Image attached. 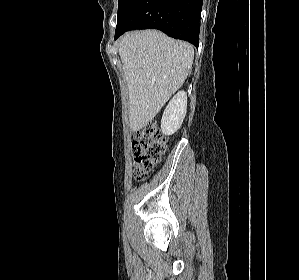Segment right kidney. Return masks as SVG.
<instances>
[{"instance_id": "1", "label": "right kidney", "mask_w": 299, "mask_h": 280, "mask_svg": "<svg viewBox=\"0 0 299 280\" xmlns=\"http://www.w3.org/2000/svg\"><path fill=\"white\" fill-rule=\"evenodd\" d=\"M187 111V94L179 91L169 102L161 119L162 133L173 135L182 125Z\"/></svg>"}]
</instances>
